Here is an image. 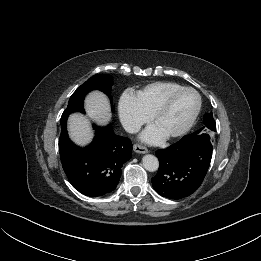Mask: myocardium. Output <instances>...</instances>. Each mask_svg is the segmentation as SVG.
Instances as JSON below:
<instances>
[{
	"instance_id": "f54148a6",
	"label": "myocardium",
	"mask_w": 261,
	"mask_h": 261,
	"mask_svg": "<svg viewBox=\"0 0 261 261\" xmlns=\"http://www.w3.org/2000/svg\"><path fill=\"white\" fill-rule=\"evenodd\" d=\"M187 91L193 92L197 96V106H196L192 116L188 120V122L181 129L165 136V138L168 139V140L181 137L184 134H186L192 128L196 119L199 116V113H200L201 107H202V97H201L200 93L196 89L191 88V87H182V88H179L177 90H174V91L170 92L162 100V102L158 105V107L154 110V112L151 115V122L154 124L156 122V120L166 111V109L168 108L171 101L177 95H179L183 92H187Z\"/></svg>"
}]
</instances>
